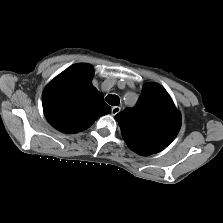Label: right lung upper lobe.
Instances as JSON below:
<instances>
[{
    "mask_svg": "<svg viewBox=\"0 0 223 223\" xmlns=\"http://www.w3.org/2000/svg\"><path fill=\"white\" fill-rule=\"evenodd\" d=\"M93 74V68L88 64L72 65L45 88L42 96L44 115L57 130L77 133L111 112L103 94L91 83Z\"/></svg>",
    "mask_w": 223,
    "mask_h": 223,
    "instance_id": "cb5924a9",
    "label": "right lung upper lobe"
}]
</instances>
